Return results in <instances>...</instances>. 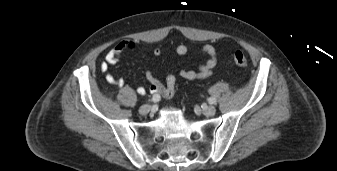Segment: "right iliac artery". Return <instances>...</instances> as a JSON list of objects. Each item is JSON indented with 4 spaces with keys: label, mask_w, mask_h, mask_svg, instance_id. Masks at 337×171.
Here are the masks:
<instances>
[{
    "label": "right iliac artery",
    "mask_w": 337,
    "mask_h": 171,
    "mask_svg": "<svg viewBox=\"0 0 337 171\" xmlns=\"http://www.w3.org/2000/svg\"><path fill=\"white\" fill-rule=\"evenodd\" d=\"M160 100V96L159 95H153V97L151 98V100H149L150 102H158Z\"/></svg>",
    "instance_id": "1"
}]
</instances>
